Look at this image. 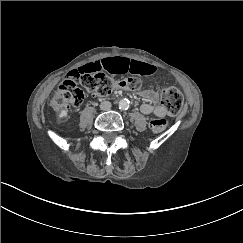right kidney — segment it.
I'll return each instance as SVG.
<instances>
[{"mask_svg": "<svg viewBox=\"0 0 243 243\" xmlns=\"http://www.w3.org/2000/svg\"><path fill=\"white\" fill-rule=\"evenodd\" d=\"M67 117V111L62 110L59 114V118Z\"/></svg>", "mask_w": 243, "mask_h": 243, "instance_id": "right-kidney-1", "label": "right kidney"}]
</instances>
